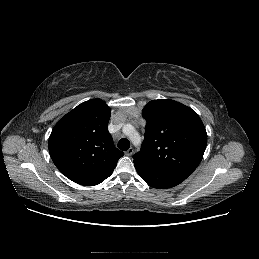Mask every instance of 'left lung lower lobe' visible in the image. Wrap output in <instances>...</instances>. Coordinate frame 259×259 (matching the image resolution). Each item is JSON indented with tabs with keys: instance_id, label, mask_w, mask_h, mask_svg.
<instances>
[{
	"instance_id": "0a47b994",
	"label": "left lung lower lobe",
	"mask_w": 259,
	"mask_h": 259,
	"mask_svg": "<svg viewBox=\"0 0 259 259\" xmlns=\"http://www.w3.org/2000/svg\"><path fill=\"white\" fill-rule=\"evenodd\" d=\"M139 176L151 187L165 189L174 187L185 179L159 171L141 162H134Z\"/></svg>"
}]
</instances>
